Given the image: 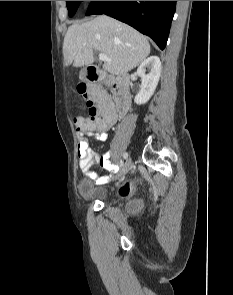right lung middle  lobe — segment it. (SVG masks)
Returning a JSON list of instances; mask_svg holds the SVG:
<instances>
[{
	"instance_id": "dd1d6c3e",
	"label": "right lung middle lobe",
	"mask_w": 233,
	"mask_h": 295,
	"mask_svg": "<svg viewBox=\"0 0 233 295\" xmlns=\"http://www.w3.org/2000/svg\"><path fill=\"white\" fill-rule=\"evenodd\" d=\"M80 3L81 1H66L68 14L70 17H72L75 14Z\"/></svg>"
}]
</instances>
